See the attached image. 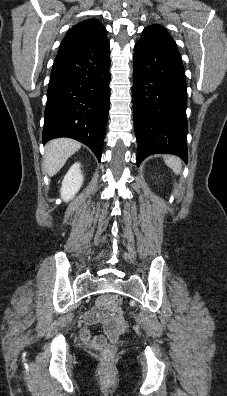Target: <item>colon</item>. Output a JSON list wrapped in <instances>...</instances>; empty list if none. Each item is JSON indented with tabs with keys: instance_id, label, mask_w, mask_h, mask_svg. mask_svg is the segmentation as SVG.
<instances>
[{
	"instance_id": "1",
	"label": "colon",
	"mask_w": 227,
	"mask_h": 396,
	"mask_svg": "<svg viewBox=\"0 0 227 396\" xmlns=\"http://www.w3.org/2000/svg\"><path fill=\"white\" fill-rule=\"evenodd\" d=\"M113 305L115 308H120L123 305V297L121 295H115L113 297ZM115 350L116 347L114 345H106L103 348L102 355L103 359L106 363H109L112 361L115 355Z\"/></svg>"
}]
</instances>
